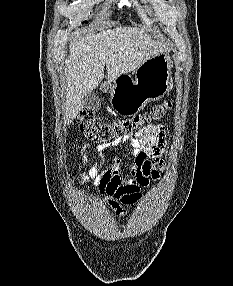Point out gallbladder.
<instances>
[{"label":"gallbladder","instance_id":"obj_1","mask_svg":"<svg viewBox=\"0 0 233 286\" xmlns=\"http://www.w3.org/2000/svg\"><path fill=\"white\" fill-rule=\"evenodd\" d=\"M100 106H101L100 98L95 92L91 91L85 95L84 97L85 108L96 111L100 108Z\"/></svg>","mask_w":233,"mask_h":286}]
</instances>
